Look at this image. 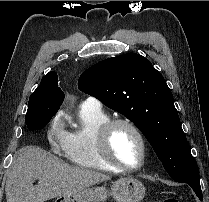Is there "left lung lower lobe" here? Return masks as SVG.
<instances>
[{
	"mask_svg": "<svg viewBox=\"0 0 209 202\" xmlns=\"http://www.w3.org/2000/svg\"><path fill=\"white\" fill-rule=\"evenodd\" d=\"M187 184H189L192 187V189L194 190V192L196 193L198 198L202 201L203 197H202V191H201V187H200V181L196 182V183L188 182Z\"/></svg>",
	"mask_w": 209,
	"mask_h": 202,
	"instance_id": "1",
	"label": "left lung lower lobe"
}]
</instances>
